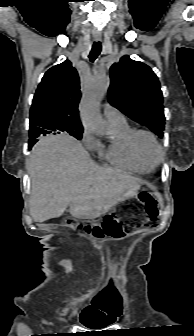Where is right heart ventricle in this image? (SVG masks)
I'll return each instance as SVG.
<instances>
[{"label": "right heart ventricle", "instance_id": "1", "mask_svg": "<svg viewBox=\"0 0 194 336\" xmlns=\"http://www.w3.org/2000/svg\"><path fill=\"white\" fill-rule=\"evenodd\" d=\"M115 136L108 144L98 143L97 152L103 161L134 174L149 173L152 168L140 163L134 156L130 147L132 127L125 121L121 124L111 125Z\"/></svg>", "mask_w": 194, "mask_h": 336}]
</instances>
